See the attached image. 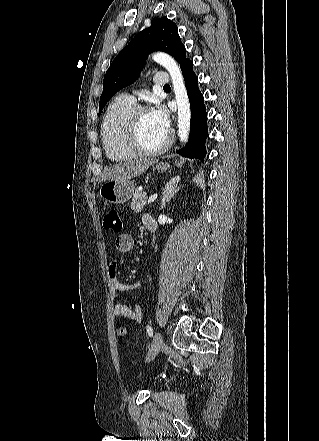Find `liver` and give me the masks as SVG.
Instances as JSON below:
<instances>
[{
	"mask_svg": "<svg viewBox=\"0 0 319 441\" xmlns=\"http://www.w3.org/2000/svg\"><path fill=\"white\" fill-rule=\"evenodd\" d=\"M156 162V159H139L111 165L104 169L101 174V181L135 178L143 174Z\"/></svg>",
	"mask_w": 319,
	"mask_h": 441,
	"instance_id": "6515ba94",
	"label": "liver"
}]
</instances>
